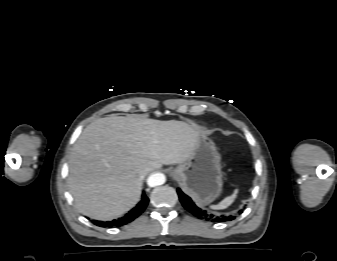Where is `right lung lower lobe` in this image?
Wrapping results in <instances>:
<instances>
[{
  "label": "right lung lower lobe",
  "instance_id": "1",
  "mask_svg": "<svg viewBox=\"0 0 337 261\" xmlns=\"http://www.w3.org/2000/svg\"><path fill=\"white\" fill-rule=\"evenodd\" d=\"M149 202L148 197L145 195V193L142 194V199L141 201L131 209L127 214H125L123 217L119 218L118 220H113V221H107V222H102V221H94V223L97 226H103V227H120L123 225H126L136 219L146 208L147 204Z\"/></svg>",
  "mask_w": 337,
  "mask_h": 261
}]
</instances>
